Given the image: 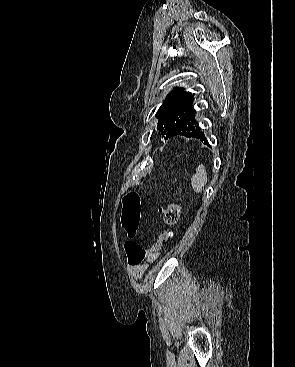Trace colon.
I'll return each instance as SVG.
<instances>
[{
    "label": "colon",
    "mask_w": 295,
    "mask_h": 367,
    "mask_svg": "<svg viewBox=\"0 0 295 367\" xmlns=\"http://www.w3.org/2000/svg\"><path fill=\"white\" fill-rule=\"evenodd\" d=\"M181 211L182 205L178 203H171L164 210H161L166 229L159 234L157 240L149 249H144L131 240L136 235L139 227L141 213L140 197L136 192L127 193L123 198L121 223L130 238L125 244L128 262L132 265L155 262L159 258L164 242L170 236V228L178 222Z\"/></svg>",
    "instance_id": "colon-1"
}]
</instances>
